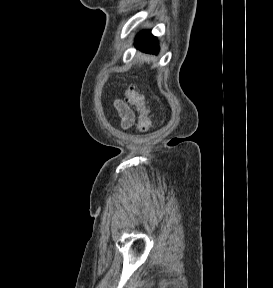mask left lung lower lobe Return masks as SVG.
<instances>
[{
  "mask_svg": "<svg viewBox=\"0 0 273 288\" xmlns=\"http://www.w3.org/2000/svg\"><path fill=\"white\" fill-rule=\"evenodd\" d=\"M135 45L144 52L158 53L159 51L157 39L151 35L150 30L138 34Z\"/></svg>",
  "mask_w": 273,
  "mask_h": 288,
  "instance_id": "0a47b994",
  "label": "left lung lower lobe"
}]
</instances>
